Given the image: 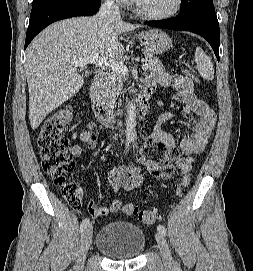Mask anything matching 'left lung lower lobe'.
Returning <instances> with one entry per match:
<instances>
[{
	"mask_svg": "<svg viewBox=\"0 0 253 271\" xmlns=\"http://www.w3.org/2000/svg\"><path fill=\"white\" fill-rule=\"evenodd\" d=\"M148 26L164 28L177 31H190L204 37L211 47L219 61L220 32L215 8L209 4L199 13L189 17H181L163 20L161 22H149Z\"/></svg>",
	"mask_w": 253,
	"mask_h": 271,
	"instance_id": "left-lung-lower-lobe-1",
	"label": "left lung lower lobe"
}]
</instances>
